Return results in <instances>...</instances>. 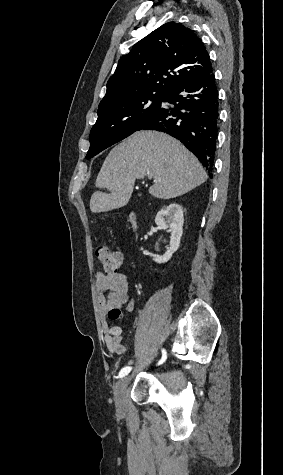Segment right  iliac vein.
Here are the masks:
<instances>
[{"label":"right iliac vein","mask_w":283,"mask_h":475,"mask_svg":"<svg viewBox=\"0 0 283 475\" xmlns=\"http://www.w3.org/2000/svg\"><path fill=\"white\" fill-rule=\"evenodd\" d=\"M128 377H123L116 385L114 397L118 414H122L124 410V394L128 383Z\"/></svg>","instance_id":"right-iliac-vein-1"}]
</instances>
